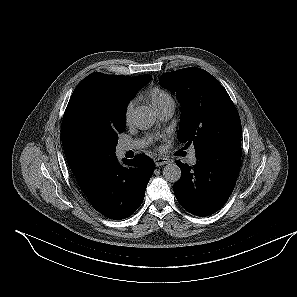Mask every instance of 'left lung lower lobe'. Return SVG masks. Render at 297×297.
I'll use <instances>...</instances> for the list:
<instances>
[{
    "label": "left lung lower lobe",
    "instance_id": "1",
    "mask_svg": "<svg viewBox=\"0 0 297 297\" xmlns=\"http://www.w3.org/2000/svg\"><path fill=\"white\" fill-rule=\"evenodd\" d=\"M193 166L176 161L181 178L174 185L176 199L196 216L218 211L230 197L241 164V139H235L202 154Z\"/></svg>",
    "mask_w": 297,
    "mask_h": 297
}]
</instances>
